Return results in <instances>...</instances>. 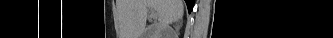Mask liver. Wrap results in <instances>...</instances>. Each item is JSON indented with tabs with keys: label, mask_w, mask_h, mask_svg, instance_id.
Instances as JSON below:
<instances>
[{
	"label": "liver",
	"mask_w": 333,
	"mask_h": 38,
	"mask_svg": "<svg viewBox=\"0 0 333 38\" xmlns=\"http://www.w3.org/2000/svg\"><path fill=\"white\" fill-rule=\"evenodd\" d=\"M153 9L159 20L158 28L163 29L169 23L182 18L184 4L182 0H136L135 34L141 36L145 30L148 10Z\"/></svg>",
	"instance_id": "liver-1"
}]
</instances>
